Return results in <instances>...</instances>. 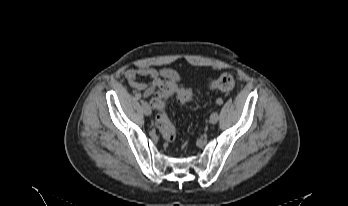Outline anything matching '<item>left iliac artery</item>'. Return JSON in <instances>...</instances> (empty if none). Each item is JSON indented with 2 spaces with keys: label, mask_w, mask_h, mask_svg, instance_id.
Masks as SVG:
<instances>
[{
  "label": "left iliac artery",
  "mask_w": 348,
  "mask_h": 206,
  "mask_svg": "<svg viewBox=\"0 0 348 206\" xmlns=\"http://www.w3.org/2000/svg\"><path fill=\"white\" fill-rule=\"evenodd\" d=\"M217 104H222V100H221V99H218V100H217Z\"/></svg>",
  "instance_id": "obj_1"
}]
</instances>
